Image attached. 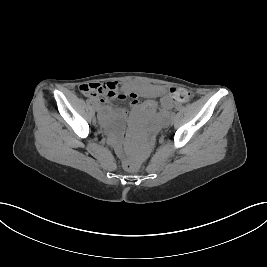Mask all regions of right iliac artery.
<instances>
[{
  "label": "right iliac artery",
  "mask_w": 267,
  "mask_h": 267,
  "mask_svg": "<svg viewBox=\"0 0 267 267\" xmlns=\"http://www.w3.org/2000/svg\"><path fill=\"white\" fill-rule=\"evenodd\" d=\"M89 102L93 105V106H95L96 105V103L95 102H93L92 100H89Z\"/></svg>",
  "instance_id": "1"
}]
</instances>
